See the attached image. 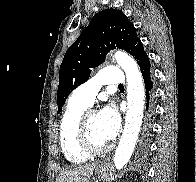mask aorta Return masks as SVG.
Returning a JSON list of instances; mask_svg holds the SVG:
<instances>
[{
	"label": "aorta",
	"instance_id": "762f6f07",
	"mask_svg": "<svg viewBox=\"0 0 196 182\" xmlns=\"http://www.w3.org/2000/svg\"><path fill=\"white\" fill-rule=\"evenodd\" d=\"M118 65L124 70L127 79V114L124 130L114 155L116 169H122L129 161L142 125L144 111V84L135 60L128 54L118 51L114 54Z\"/></svg>",
	"mask_w": 196,
	"mask_h": 182
}]
</instances>
